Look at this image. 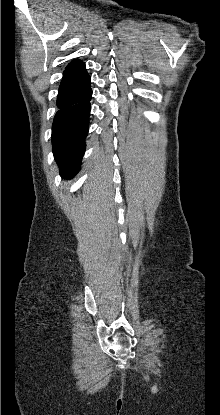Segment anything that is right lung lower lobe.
Returning <instances> with one entry per match:
<instances>
[{"instance_id": "1", "label": "right lung lower lobe", "mask_w": 220, "mask_h": 415, "mask_svg": "<svg viewBox=\"0 0 220 415\" xmlns=\"http://www.w3.org/2000/svg\"><path fill=\"white\" fill-rule=\"evenodd\" d=\"M90 85L82 61L65 69L57 96L59 110L52 125L53 153L62 178H72L81 165L89 128Z\"/></svg>"}]
</instances>
